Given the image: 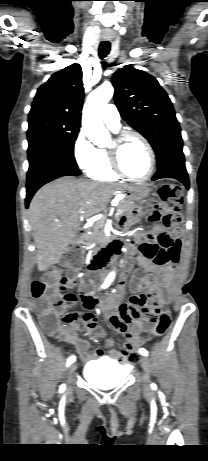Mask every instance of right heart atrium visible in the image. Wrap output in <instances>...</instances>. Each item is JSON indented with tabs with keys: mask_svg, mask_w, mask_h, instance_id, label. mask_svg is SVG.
<instances>
[{
	"mask_svg": "<svg viewBox=\"0 0 208 461\" xmlns=\"http://www.w3.org/2000/svg\"><path fill=\"white\" fill-rule=\"evenodd\" d=\"M96 148L83 131H80L73 144V156L77 166L87 170L95 158Z\"/></svg>",
	"mask_w": 208,
	"mask_h": 461,
	"instance_id": "1",
	"label": "right heart atrium"
}]
</instances>
